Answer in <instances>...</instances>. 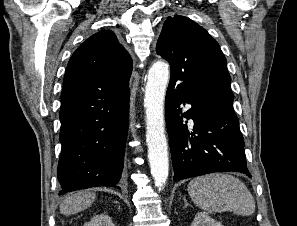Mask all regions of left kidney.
<instances>
[{
	"mask_svg": "<svg viewBox=\"0 0 297 226\" xmlns=\"http://www.w3.org/2000/svg\"><path fill=\"white\" fill-rule=\"evenodd\" d=\"M191 226H223L222 223L215 221L206 213H197Z\"/></svg>",
	"mask_w": 297,
	"mask_h": 226,
	"instance_id": "obj_1",
	"label": "left kidney"
}]
</instances>
